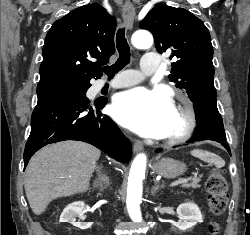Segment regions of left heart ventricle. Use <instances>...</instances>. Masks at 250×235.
Returning <instances> with one entry per match:
<instances>
[{"mask_svg": "<svg viewBox=\"0 0 250 235\" xmlns=\"http://www.w3.org/2000/svg\"><path fill=\"white\" fill-rule=\"evenodd\" d=\"M183 126V118L182 116L174 110V112L171 114L168 122L167 130L165 131L163 138L173 136L177 132L181 130Z\"/></svg>", "mask_w": 250, "mask_h": 235, "instance_id": "1", "label": "left heart ventricle"}]
</instances>
